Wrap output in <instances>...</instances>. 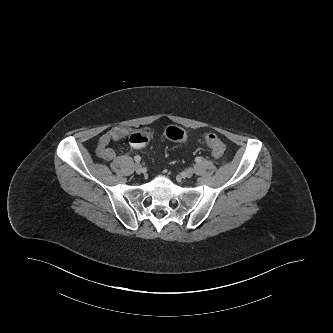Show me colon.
Masks as SVG:
<instances>
[{
    "mask_svg": "<svg viewBox=\"0 0 333 333\" xmlns=\"http://www.w3.org/2000/svg\"><path fill=\"white\" fill-rule=\"evenodd\" d=\"M167 138L174 141H184L186 133L183 129L171 126L165 131ZM151 139V131L149 129H141L131 134L129 141V148L133 152H140L144 149L145 145ZM206 143L210 148L213 156L221 157L225 152V145L223 141L215 134H208L206 136Z\"/></svg>",
    "mask_w": 333,
    "mask_h": 333,
    "instance_id": "colon-1",
    "label": "colon"
}]
</instances>
